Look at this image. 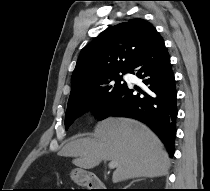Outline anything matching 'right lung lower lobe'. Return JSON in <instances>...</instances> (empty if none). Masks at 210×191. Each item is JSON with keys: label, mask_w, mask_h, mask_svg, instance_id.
<instances>
[{"label": "right lung lower lobe", "mask_w": 210, "mask_h": 191, "mask_svg": "<svg viewBox=\"0 0 210 191\" xmlns=\"http://www.w3.org/2000/svg\"><path fill=\"white\" fill-rule=\"evenodd\" d=\"M128 73L142 79L145 87L136 89L127 85L110 101L99 115L138 119L146 123L165 144L170 157L175 151L177 118V91L170 57L161 36L155 38L132 63Z\"/></svg>", "instance_id": "right-lung-lower-lobe-1"}]
</instances>
